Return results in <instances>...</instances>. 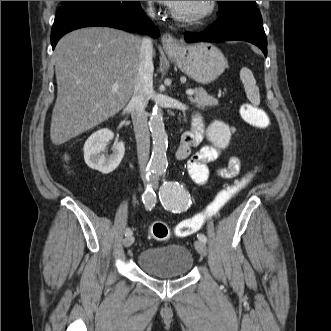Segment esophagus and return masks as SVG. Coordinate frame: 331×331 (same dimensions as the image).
<instances>
[{
    "instance_id": "1",
    "label": "esophagus",
    "mask_w": 331,
    "mask_h": 331,
    "mask_svg": "<svg viewBox=\"0 0 331 331\" xmlns=\"http://www.w3.org/2000/svg\"><path fill=\"white\" fill-rule=\"evenodd\" d=\"M162 45L167 53H174L180 48L179 41L170 33L163 34Z\"/></svg>"
}]
</instances>
